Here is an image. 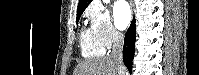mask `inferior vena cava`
I'll return each mask as SVG.
<instances>
[{"instance_id":"1","label":"inferior vena cava","mask_w":199,"mask_h":75,"mask_svg":"<svg viewBox=\"0 0 199 75\" xmlns=\"http://www.w3.org/2000/svg\"><path fill=\"white\" fill-rule=\"evenodd\" d=\"M123 44H124L123 34L114 30L113 31V48H112V52L110 56L115 60L117 64L118 75H124L126 72V69L123 66V60H122Z\"/></svg>"}]
</instances>
